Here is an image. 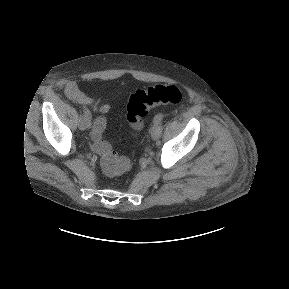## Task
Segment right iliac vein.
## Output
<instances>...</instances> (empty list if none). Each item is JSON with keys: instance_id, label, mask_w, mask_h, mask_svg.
Returning <instances> with one entry per match:
<instances>
[{"instance_id": "63e3f726", "label": "right iliac vein", "mask_w": 289, "mask_h": 289, "mask_svg": "<svg viewBox=\"0 0 289 289\" xmlns=\"http://www.w3.org/2000/svg\"><path fill=\"white\" fill-rule=\"evenodd\" d=\"M91 123L90 120L87 119L84 116H80L79 122H78V127L80 130H86L90 127Z\"/></svg>"}]
</instances>
